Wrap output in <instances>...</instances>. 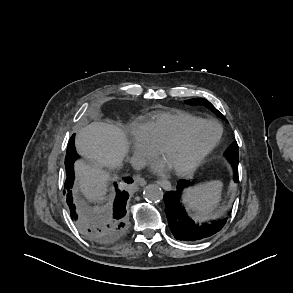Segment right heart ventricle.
Instances as JSON below:
<instances>
[{"mask_svg":"<svg viewBox=\"0 0 293 293\" xmlns=\"http://www.w3.org/2000/svg\"><path fill=\"white\" fill-rule=\"evenodd\" d=\"M198 119V117L190 113L172 109L154 112L141 126L144 127L151 143L156 148H159L162 144L175 137L184 126Z\"/></svg>","mask_w":293,"mask_h":293,"instance_id":"e07e8e85","label":"right heart ventricle"}]
</instances>
